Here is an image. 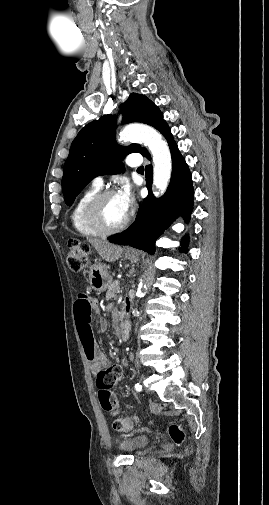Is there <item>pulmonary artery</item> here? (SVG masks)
<instances>
[{
    "label": "pulmonary artery",
    "instance_id": "obj_1",
    "mask_svg": "<svg viewBox=\"0 0 269 505\" xmlns=\"http://www.w3.org/2000/svg\"><path fill=\"white\" fill-rule=\"evenodd\" d=\"M141 157L138 154H131L126 158V164L131 167H137L141 165ZM104 184V178L102 176H97L93 179V185L102 187Z\"/></svg>",
    "mask_w": 269,
    "mask_h": 505
}]
</instances>
